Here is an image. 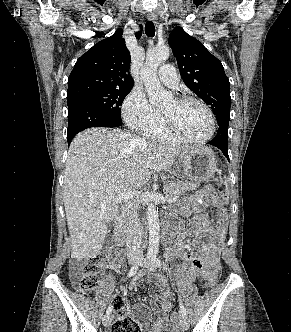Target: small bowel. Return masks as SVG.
Returning a JSON list of instances; mask_svg holds the SVG:
<instances>
[{
  "label": "small bowel",
  "mask_w": 291,
  "mask_h": 332,
  "mask_svg": "<svg viewBox=\"0 0 291 332\" xmlns=\"http://www.w3.org/2000/svg\"><path fill=\"white\" fill-rule=\"evenodd\" d=\"M172 232L176 235L175 244L167 251V258L179 259L187 261L191 264L195 273L205 276L208 269L215 266L219 262L220 245L225 237L224 227L213 226L206 215L199 216L195 225L189 230L185 231L180 224L174 225ZM188 238L195 239L198 246V253H189L187 240ZM146 275L145 271L138 274V278ZM160 294L153 297L150 308L156 315L157 319L149 330L144 332H166L172 326V319L169 312L172 309V304L168 291L163 280L159 282ZM160 303V307L158 306ZM134 316L141 327L149 323L150 310L143 304H138L134 308Z\"/></svg>",
  "instance_id": "c3829d8e"
}]
</instances>
